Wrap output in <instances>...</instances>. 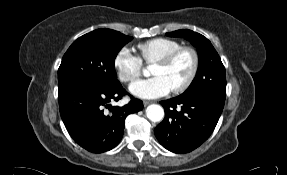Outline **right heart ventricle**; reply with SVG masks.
<instances>
[{
    "label": "right heart ventricle",
    "instance_id": "right-heart-ventricle-1",
    "mask_svg": "<svg viewBox=\"0 0 287 175\" xmlns=\"http://www.w3.org/2000/svg\"><path fill=\"white\" fill-rule=\"evenodd\" d=\"M180 46H182V43L176 39L158 37L138 44L137 48L144 62L153 63Z\"/></svg>",
    "mask_w": 287,
    "mask_h": 175
}]
</instances>
